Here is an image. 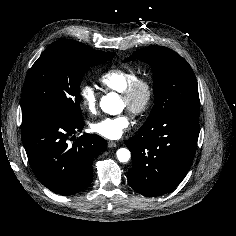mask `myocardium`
Here are the masks:
<instances>
[{
    "label": "myocardium",
    "instance_id": "myocardium-1",
    "mask_svg": "<svg viewBox=\"0 0 236 236\" xmlns=\"http://www.w3.org/2000/svg\"><path fill=\"white\" fill-rule=\"evenodd\" d=\"M121 98L127 103V110L135 115L145 114L152 106L155 98V86L149 77L135 78L124 91Z\"/></svg>",
    "mask_w": 236,
    "mask_h": 236
}]
</instances>
